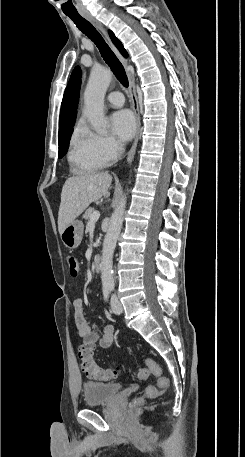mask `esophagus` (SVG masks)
I'll return each instance as SVG.
<instances>
[{
  "label": "esophagus",
  "instance_id": "obj_1",
  "mask_svg": "<svg viewBox=\"0 0 245 457\" xmlns=\"http://www.w3.org/2000/svg\"><path fill=\"white\" fill-rule=\"evenodd\" d=\"M82 17H84L85 19L89 20V22L93 23V25H95V27H97L99 30H101V32H103V34L106 36V38L108 39L112 49L114 50V52L116 53V55L118 56L120 62L124 65V67L127 69V66H128V61L126 58H124L119 52L118 50L115 48L114 45H112V43L110 42L108 36H107V33L105 31V29L103 28V26L101 25V23L96 20L95 17H93L91 15V13L89 12H86V13H81ZM127 77L129 79V95H130V98L132 100V107H133V110H134V114H135V118H136V133H135V138H134V142L132 144V147L131 149L129 150V153H128V156H127V163H131L133 158H134V155H135V152H136V147H137V144H138V138H139V133H140V125H141V122H140V112H139V106H138V99H137V95H136V89H135V84H134V80L132 78V75L130 73V71L127 69Z\"/></svg>",
  "mask_w": 245,
  "mask_h": 457
}]
</instances>
